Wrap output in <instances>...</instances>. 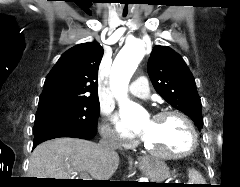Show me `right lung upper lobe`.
Masks as SVG:
<instances>
[{
	"label": "right lung upper lobe",
	"mask_w": 240,
	"mask_h": 187,
	"mask_svg": "<svg viewBox=\"0 0 240 187\" xmlns=\"http://www.w3.org/2000/svg\"><path fill=\"white\" fill-rule=\"evenodd\" d=\"M103 48L82 43L67 50L46 77L39 105L56 101L98 100V68Z\"/></svg>",
	"instance_id": "cb5924a9"
}]
</instances>
